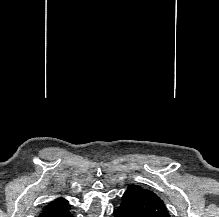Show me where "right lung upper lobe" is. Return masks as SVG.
<instances>
[{"label": "right lung upper lobe", "instance_id": "right-lung-upper-lobe-1", "mask_svg": "<svg viewBox=\"0 0 219 217\" xmlns=\"http://www.w3.org/2000/svg\"><path fill=\"white\" fill-rule=\"evenodd\" d=\"M68 201L64 198L60 197L51 202H49L41 211L38 217H46V215H51L58 213L60 211L69 209Z\"/></svg>", "mask_w": 219, "mask_h": 217}]
</instances>
